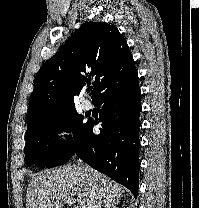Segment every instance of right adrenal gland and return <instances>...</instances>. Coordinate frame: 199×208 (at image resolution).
Listing matches in <instances>:
<instances>
[{
  "label": "right adrenal gland",
  "instance_id": "2a0ac1e0",
  "mask_svg": "<svg viewBox=\"0 0 199 208\" xmlns=\"http://www.w3.org/2000/svg\"><path fill=\"white\" fill-rule=\"evenodd\" d=\"M118 203H119V201L108 202L105 204L104 208H117Z\"/></svg>",
  "mask_w": 199,
  "mask_h": 208
}]
</instances>
